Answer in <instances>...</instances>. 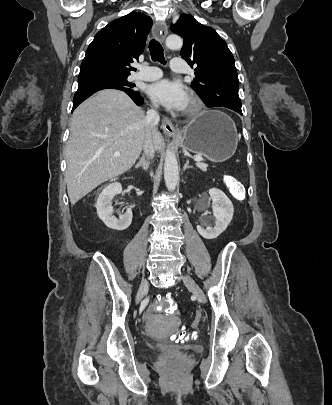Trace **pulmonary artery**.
I'll list each match as a JSON object with an SVG mask.
<instances>
[{"label": "pulmonary artery", "mask_w": 332, "mask_h": 405, "mask_svg": "<svg viewBox=\"0 0 332 405\" xmlns=\"http://www.w3.org/2000/svg\"><path fill=\"white\" fill-rule=\"evenodd\" d=\"M171 70L175 73H185L186 63L182 58H173L171 60ZM162 76V71L155 66L141 65L135 77L139 80L153 81Z\"/></svg>", "instance_id": "1"}]
</instances>
